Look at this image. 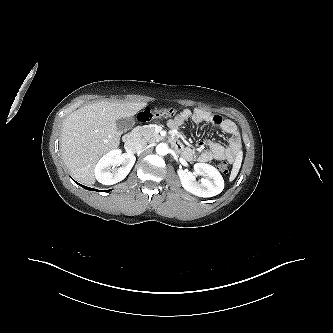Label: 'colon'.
<instances>
[{"instance_id": "1", "label": "colon", "mask_w": 333, "mask_h": 333, "mask_svg": "<svg viewBox=\"0 0 333 333\" xmlns=\"http://www.w3.org/2000/svg\"><path fill=\"white\" fill-rule=\"evenodd\" d=\"M176 114V110L173 108H160V109H154L150 107L144 108L141 112L138 114V120L140 122H147L153 119L158 118H167L171 117ZM217 168L223 172H228V162L226 160H222L218 163Z\"/></svg>"}]
</instances>
